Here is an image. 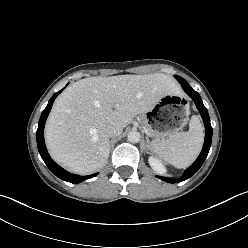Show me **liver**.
I'll list each match as a JSON object with an SVG mask.
<instances>
[{
  "instance_id": "6515ba94",
  "label": "liver",
  "mask_w": 248,
  "mask_h": 248,
  "mask_svg": "<svg viewBox=\"0 0 248 248\" xmlns=\"http://www.w3.org/2000/svg\"><path fill=\"white\" fill-rule=\"evenodd\" d=\"M178 92L176 82L163 73L79 80L54 102L45 127L49 152L71 172L92 173L109 157L108 125L124 128L162 96Z\"/></svg>"
}]
</instances>
